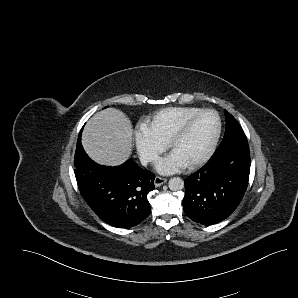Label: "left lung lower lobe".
<instances>
[{
    "mask_svg": "<svg viewBox=\"0 0 298 298\" xmlns=\"http://www.w3.org/2000/svg\"><path fill=\"white\" fill-rule=\"evenodd\" d=\"M249 173L250 152L246 136L220 144L208 163L185 179V214L204 225L226 219L242 200Z\"/></svg>",
    "mask_w": 298,
    "mask_h": 298,
    "instance_id": "left-lung-lower-lobe-1",
    "label": "left lung lower lobe"
}]
</instances>
